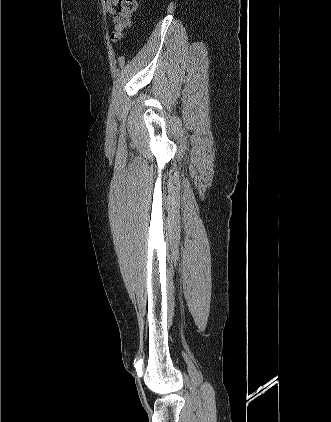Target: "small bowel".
Returning <instances> with one entry per match:
<instances>
[{
	"label": "small bowel",
	"mask_w": 331,
	"mask_h": 422,
	"mask_svg": "<svg viewBox=\"0 0 331 422\" xmlns=\"http://www.w3.org/2000/svg\"><path fill=\"white\" fill-rule=\"evenodd\" d=\"M103 12L108 16H114L119 6V0H101Z\"/></svg>",
	"instance_id": "c3829d8e"
}]
</instances>
